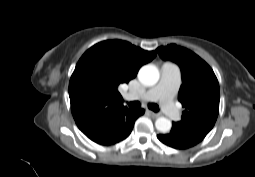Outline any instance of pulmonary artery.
Segmentation results:
<instances>
[{"label": "pulmonary artery", "instance_id": "e3ab8cb5", "mask_svg": "<svg viewBox=\"0 0 255 177\" xmlns=\"http://www.w3.org/2000/svg\"><path fill=\"white\" fill-rule=\"evenodd\" d=\"M179 84L180 78L177 70L171 64L165 63L161 68L159 83L141 94L139 99L148 102L159 101L161 108L170 119L179 120L180 113L173 102Z\"/></svg>", "mask_w": 255, "mask_h": 177}]
</instances>
